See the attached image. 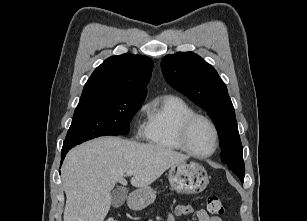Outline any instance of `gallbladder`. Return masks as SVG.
Returning a JSON list of instances; mask_svg holds the SVG:
<instances>
[{
	"label": "gallbladder",
	"mask_w": 307,
	"mask_h": 221,
	"mask_svg": "<svg viewBox=\"0 0 307 221\" xmlns=\"http://www.w3.org/2000/svg\"><path fill=\"white\" fill-rule=\"evenodd\" d=\"M128 191L124 187H117L111 193V204L118 208L122 206L127 198Z\"/></svg>",
	"instance_id": "bac80fb5"
}]
</instances>
